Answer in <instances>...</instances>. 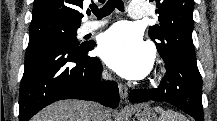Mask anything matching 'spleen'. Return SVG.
Masks as SVG:
<instances>
[{
	"instance_id": "3e777b00",
	"label": "spleen",
	"mask_w": 217,
	"mask_h": 121,
	"mask_svg": "<svg viewBox=\"0 0 217 121\" xmlns=\"http://www.w3.org/2000/svg\"><path fill=\"white\" fill-rule=\"evenodd\" d=\"M156 111L160 113V121H187L186 117L174 111H164L159 107L156 108Z\"/></svg>"
}]
</instances>
